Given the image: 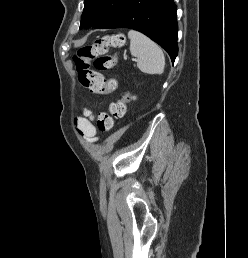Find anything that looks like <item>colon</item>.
Wrapping results in <instances>:
<instances>
[{"label":"colon","mask_w":248,"mask_h":258,"mask_svg":"<svg viewBox=\"0 0 248 258\" xmlns=\"http://www.w3.org/2000/svg\"><path fill=\"white\" fill-rule=\"evenodd\" d=\"M124 43L125 37L122 33H112L95 40L92 44L80 47L73 58L80 84L93 94H109L115 87L114 83L107 82L98 71L112 70L118 66L119 56L108 51L111 47H122ZM91 66L97 71L91 70ZM131 99L129 93H124L119 100L110 104L108 111L99 113L97 117L99 131H111L114 120L124 117L127 103Z\"/></svg>","instance_id":"5ec220e1"}]
</instances>
